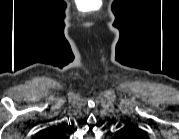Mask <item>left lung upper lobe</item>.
<instances>
[{"label": "left lung upper lobe", "mask_w": 179, "mask_h": 139, "mask_svg": "<svg viewBox=\"0 0 179 139\" xmlns=\"http://www.w3.org/2000/svg\"><path fill=\"white\" fill-rule=\"evenodd\" d=\"M125 129L131 133L144 134L142 130L135 126H127Z\"/></svg>", "instance_id": "left-lung-upper-lobe-1"}]
</instances>
